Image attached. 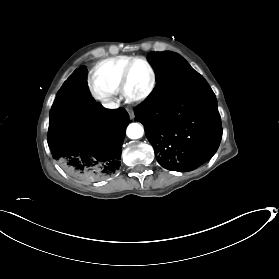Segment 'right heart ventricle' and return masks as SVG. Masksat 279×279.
<instances>
[{
    "label": "right heart ventricle",
    "mask_w": 279,
    "mask_h": 279,
    "mask_svg": "<svg viewBox=\"0 0 279 279\" xmlns=\"http://www.w3.org/2000/svg\"><path fill=\"white\" fill-rule=\"evenodd\" d=\"M132 56H115L98 62L91 71V83L110 94L120 88V76L125 64Z\"/></svg>",
    "instance_id": "right-heart-ventricle-1"
}]
</instances>
